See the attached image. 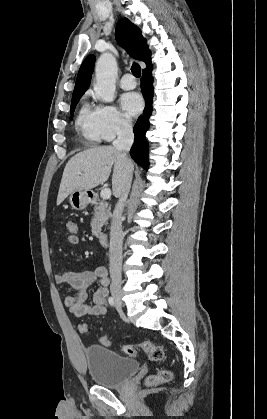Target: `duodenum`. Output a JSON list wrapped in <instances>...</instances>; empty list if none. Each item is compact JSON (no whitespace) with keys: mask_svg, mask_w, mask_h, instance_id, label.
Instances as JSON below:
<instances>
[{"mask_svg":"<svg viewBox=\"0 0 267 419\" xmlns=\"http://www.w3.org/2000/svg\"><path fill=\"white\" fill-rule=\"evenodd\" d=\"M89 201L91 203H96L97 202V197L94 196V195H91L89 197ZM98 239H99V241L102 245H106L108 243V234L105 231H100L99 234H98Z\"/></svg>","mask_w":267,"mask_h":419,"instance_id":"1","label":"duodenum"}]
</instances>
